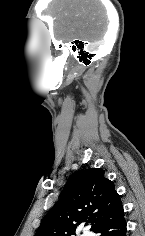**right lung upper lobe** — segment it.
Instances as JSON below:
<instances>
[{
	"instance_id": "1",
	"label": "right lung upper lobe",
	"mask_w": 145,
	"mask_h": 236,
	"mask_svg": "<svg viewBox=\"0 0 145 236\" xmlns=\"http://www.w3.org/2000/svg\"><path fill=\"white\" fill-rule=\"evenodd\" d=\"M122 207L112 181L103 169L74 173L61 198L46 214L35 236H73L79 224L87 221L94 231Z\"/></svg>"
}]
</instances>
